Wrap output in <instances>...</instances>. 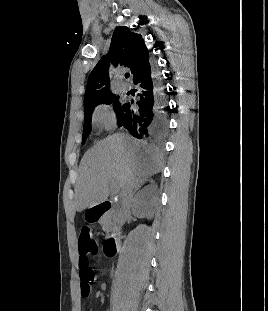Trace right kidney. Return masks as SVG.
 I'll list each match as a JSON object with an SVG mask.
<instances>
[{"instance_id":"right-kidney-1","label":"right kidney","mask_w":268,"mask_h":311,"mask_svg":"<svg viewBox=\"0 0 268 311\" xmlns=\"http://www.w3.org/2000/svg\"><path fill=\"white\" fill-rule=\"evenodd\" d=\"M152 183V182H151ZM159 201L157 185L150 184L136 195L133 202V214L141 218H152Z\"/></svg>"}]
</instances>
